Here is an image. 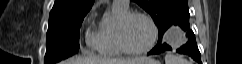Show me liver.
<instances>
[{
  "label": "liver",
  "instance_id": "obj_1",
  "mask_svg": "<svg viewBox=\"0 0 242 64\" xmlns=\"http://www.w3.org/2000/svg\"><path fill=\"white\" fill-rule=\"evenodd\" d=\"M146 57L131 59H110V58H82L75 57L62 62L61 64H142L148 61Z\"/></svg>",
  "mask_w": 242,
  "mask_h": 64
}]
</instances>
